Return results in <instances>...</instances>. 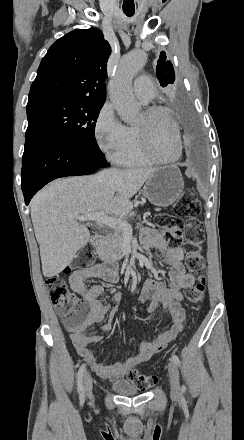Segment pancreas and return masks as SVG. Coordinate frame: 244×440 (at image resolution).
<instances>
[{
    "label": "pancreas",
    "mask_w": 244,
    "mask_h": 440,
    "mask_svg": "<svg viewBox=\"0 0 244 440\" xmlns=\"http://www.w3.org/2000/svg\"><path fill=\"white\" fill-rule=\"evenodd\" d=\"M125 236L126 234L123 230H114L113 234L103 236V240H100L99 246L96 248V252L102 262H114V260H121L123 258L122 244Z\"/></svg>",
    "instance_id": "pancreas-1"
}]
</instances>
